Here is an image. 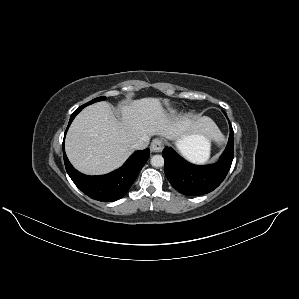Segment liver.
Listing matches in <instances>:
<instances>
[{
	"label": "liver",
	"mask_w": 299,
	"mask_h": 299,
	"mask_svg": "<svg viewBox=\"0 0 299 299\" xmlns=\"http://www.w3.org/2000/svg\"><path fill=\"white\" fill-rule=\"evenodd\" d=\"M160 98H142L122 106L119 121L110 104L99 102L83 109L72 122L65 140V150L72 165L82 173L101 175L119 168L133 152L136 141L153 135L179 138L193 129L220 138L217 126L205 120L190 125L172 120Z\"/></svg>",
	"instance_id": "1"
}]
</instances>
